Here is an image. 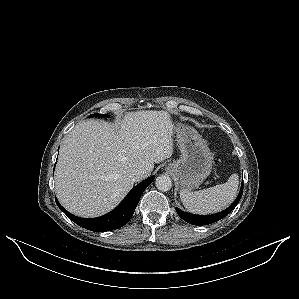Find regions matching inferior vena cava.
I'll use <instances>...</instances> for the list:
<instances>
[{
	"label": "inferior vena cava",
	"mask_w": 299,
	"mask_h": 299,
	"mask_svg": "<svg viewBox=\"0 0 299 299\" xmlns=\"http://www.w3.org/2000/svg\"><path fill=\"white\" fill-rule=\"evenodd\" d=\"M130 177L134 182H138L145 177V170L144 169H133L130 172Z\"/></svg>",
	"instance_id": "1"
}]
</instances>
